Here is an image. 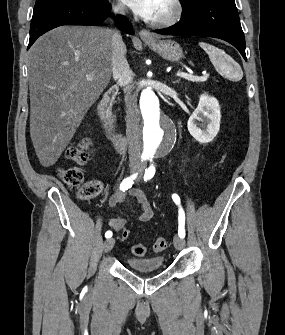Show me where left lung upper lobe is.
<instances>
[{
	"label": "left lung upper lobe",
	"mask_w": 285,
	"mask_h": 335,
	"mask_svg": "<svg viewBox=\"0 0 285 335\" xmlns=\"http://www.w3.org/2000/svg\"><path fill=\"white\" fill-rule=\"evenodd\" d=\"M180 1H181L182 5H186V4L192 3V2H194L196 0H180Z\"/></svg>",
	"instance_id": "1"
}]
</instances>
